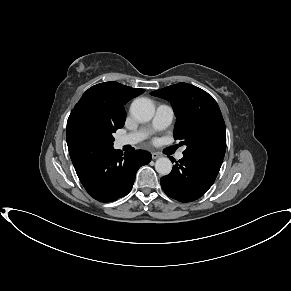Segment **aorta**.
<instances>
[{"label": "aorta", "instance_id": "aorta-1", "mask_svg": "<svg viewBox=\"0 0 291 291\" xmlns=\"http://www.w3.org/2000/svg\"><path fill=\"white\" fill-rule=\"evenodd\" d=\"M153 102L145 97L135 99L130 106V113L139 122H148L154 116ZM155 170L161 175H168L172 170V162L167 157L158 158L155 162Z\"/></svg>", "mask_w": 291, "mask_h": 291}]
</instances>
